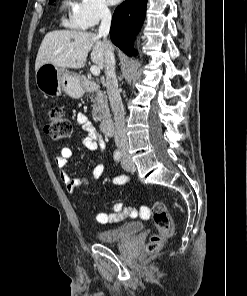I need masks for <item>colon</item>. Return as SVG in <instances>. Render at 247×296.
<instances>
[{
    "instance_id": "obj_1",
    "label": "colon",
    "mask_w": 247,
    "mask_h": 296,
    "mask_svg": "<svg viewBox=\"0 0 247 296\" xmlns=\"http://www.w3.org/2000/svg\"><path fill=\"white\" fill-rule=\"evenodd\" d=\"M45 133L52 139H62L71 135L72 125L66 118L61 108H52L49 119L45 126ZM152 216L157 232L153 234L146 246V253L153 254L160 250L163 240L172 235L174 224L167 205L164 202L156 201L150 210L142 212L144 218Z\"/></svg>"
}]
</instances>
